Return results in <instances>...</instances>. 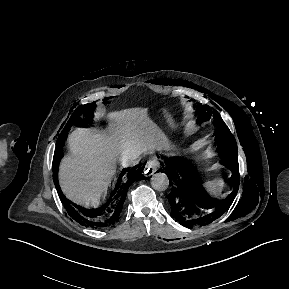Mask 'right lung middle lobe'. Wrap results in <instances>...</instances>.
<instances>
[{
	"instance_id": "right-lung-middle-lobe-1",
	"label": "right lung middle lobe",
	"mask_w": 289,
	"mask_h": 289,
	"mask_svg": "<svg viewBox=\"0 0 289 289\" xmlns=\"http://www.w3.org/2000/svg\"><path fill=\"white\" fill-rule=\"evenodd\" d=\"M95 108L96 104L93 102L91 104L79 106L77 109H75L61 134L63 132H67L68 129L74 124L80 125L89 123L93 119V110H95Z\"/></svg>"
}]
</instances>
